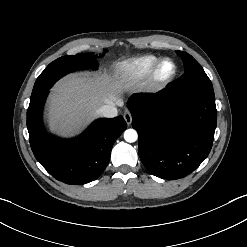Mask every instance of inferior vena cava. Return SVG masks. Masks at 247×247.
<instances>
[{"label":"inferior vena cava","instance_id":"obj_1","mask_svg":"<svg viewBox=\"0 0 247 247\" xmlns=\"http://www.w3.org/2000/svg\"><path fill=\"white\" fill-rule=\"evenodd\" d=\"M115 105H122L121 100H117L115 103L110 102L109 104H105L97 110L98 115L106 118L116 117L118 114V110Z\"/></svg>","mask_w":247,"mask_h":247}]
</instances>
